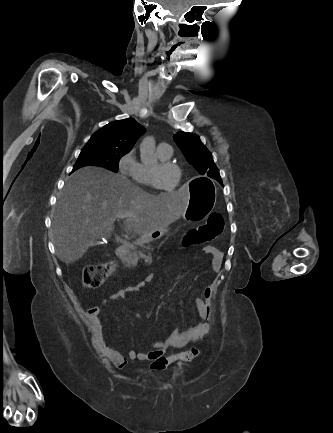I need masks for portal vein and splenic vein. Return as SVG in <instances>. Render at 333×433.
Wrapping results in <instances>:
<instances>
[{
  "mask_svg": "<svg viewBox=\"0 0 333 433\" xmlns=\"http://www.w3.org/2000/svg\"><path fill=\"white\" fill-rule=\"evenodd\" d=\"M130 216V214L129 213H123V212H120V213H118L117 215H116V219L117 220H121V219H125V218H128ZM123 244L125 245V246H127L128 245V242H123Z\"/></svg>",
  "mask_w": 333,
  "mask_h": 433,
  "instance_id": "obj_1",
  "label": "portal vein and splenic vein"
}]
</instances>
